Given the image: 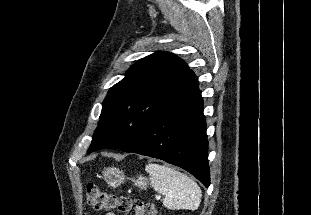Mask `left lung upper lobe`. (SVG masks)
Listing matches in <instances>:
<instances>
[{
  "instance_id": "1",
  "label": "left lung upper lobe",
  "mask_w": 311,
  "mask_h": 215,
  "mask_svg": "<svg viewBox=\"0 0 311 215\" xmlns=\"http://www.w3.org/2000/svg\"><path fill=\"white\" fill-rule=\"evenodd\" d=\"M195 77L186 62L173 53L159 51L138 60L108 91L88 153L126 146Z\"/></svg>"
}]
</instances>
